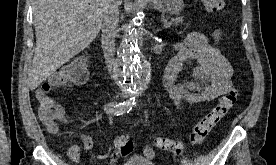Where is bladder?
<instances>
[{
	"mask_svg": "<svg viewBox=\"0 0 276 165\" xmlns=\"http://www.w3.org/2000/svg\"><path fill=\"white\" fill-rule=\"evenodd\" d=\"M123 165H154L150 160L139 156L133 155L127 159V161Z\"/></svg>",
	"mask_w": 276,
	"mask_h": 165,
	"instance_id": "bladder-1",
	"label": "bladder"
}]
</instances>
